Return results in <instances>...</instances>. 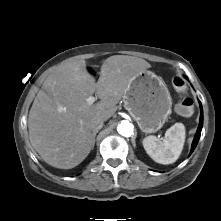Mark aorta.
I'll return each instance as SVG.
<instances>
[{
  "instance_id": "1",
  "label": "aorta",
  "mask_w": 221,
  "mask_h": 221,
  "mask_svg": "<svg viewBox=\"0 0 221 221\" xmlns=\"http://www.w3.org/2000/svg\"><path fill=\"white\" fill-rule=\"evenodd\" d=\"M134 126L129 121H121V123L117 126V131L124 137H130L133 134Z\"/></svg>"
}]
</instances>
